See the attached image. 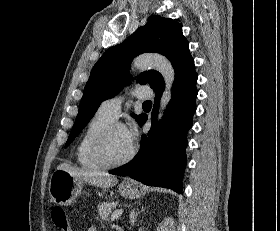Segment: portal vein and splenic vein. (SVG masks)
<instances>
[{
	"label": "portal vein and splenic vein",
	"instance_id": "18ae733b",
	"mask_svg": "<svg viewBox=\"0 0 280 231\" xmlns=\"http://www.w3.org/2000/svg\"><path fill=\"white\" fill-rule=\"evenodd\" d=\"M123 213L122 209H115L111 215V221H115V219H118L119 215Z\"/></svg>",
	"mask_w": 280,
	"mask_h": 231
}]
</instances>
